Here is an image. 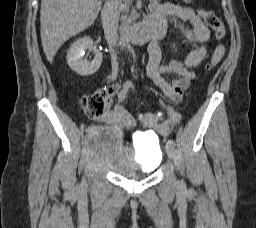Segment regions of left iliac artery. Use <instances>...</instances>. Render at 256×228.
I'll return each mask as SVG.
<instances>
[{
	"instance_id": "1",
	"label": "left iliac artery",
	"mask_w": 256,
	"mask_h": 228,
	"mask_svg": "<svg viewBox=\"0 0 256 228\" xmlns=\"http://www.w3.org/2000/svg\"><path fill=\"white\" fill-rule=\"evenodd\" d=\"M167 143H169V144L175 146V142H174V140H172V139H169Z\"/></svg>"
}]
</instances>
